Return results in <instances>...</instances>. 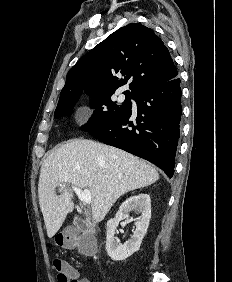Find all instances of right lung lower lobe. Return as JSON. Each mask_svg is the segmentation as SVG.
<instances>
[{
    "label": "right lung lower lobe",
    "mask_w": 232,
    "mask_h": 282,
    "mask_svg": "<svg viewBox=\"0 0 232 282\" xmlns=\"http://www.w3.org/2000/svg\"><path fill=\"white\" fill-rule=\"evenodd\" d=\"M134 100L138 114L135 122L131 120V107L89 133L105 144L150 161L171 178L180 138V79L175 77L167 82L147 85L135 94Z\"/></svg>",
    "instance_id": "98d812e1"
}]
</instances>
